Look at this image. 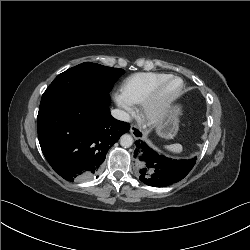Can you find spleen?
I'll return each mask as SVG.
<instances>
[{
	"instance_id": "3e777b00",
	"label": "spleen",
	"mask_w": 250,
	"mask_h": 250,
	"mask_svg": "<svg viewBox=\"0 0 250 250\" xmlns=\"http://www.w3.org/2000/svg\"><path fill=\"white\" fill-rule=\"evenodd\" d=\"M165 148H166L168 151H170V152H172V153H176V154H179V153L182 152V145H181V144H178V143H176V144H171V145H167V146H165Z\"/></svg>"
}]
</instances>
